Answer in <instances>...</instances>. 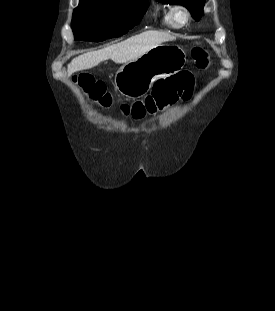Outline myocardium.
I'll return each instance as SVG.
<instances>
[{
    "label": "myocardium",
    "instance_id": "obj_1",
    "mask_svg": "<svg viewBox=\"0 0 275 311\" xmlns=\"http://www.w3.org/2000/svg\"><path fill=\"white\" fill-rule=\"evenodd\" d=\"M178 15L183 16L182 21H179L177 19ZM170 16H171V21L176 28H183L190 21V13H189L188 9L184 6H181V5H176V6L172 7V9L170 10Z\"/></svg>",
    "mask_w": 275,
    "mask_h": 311
}]
</instances>
